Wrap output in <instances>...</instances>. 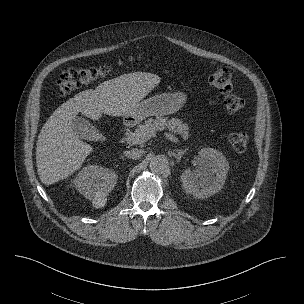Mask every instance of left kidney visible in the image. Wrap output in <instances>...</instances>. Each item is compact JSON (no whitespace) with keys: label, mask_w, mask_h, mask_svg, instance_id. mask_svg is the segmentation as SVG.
I'll list each match as a JSON object with an SVG mask.
<instances>
[{"label":"left kidney","mask_w":304,"mask_h":304,"mask_svg":"<svg viewBox=\"0 0 304 304\" xmlns=\"http://www.w3.org/2000/svg\"><path fill=\"white\" fill-rule=\"evenodd\" d=\"M193 163L196 169L185 170L181 175L182 186L187 193L197 198H207L223 188L229 163L222 152L203 148Z\"/></svg>","instance_id":"5707ae66"}]
</instances>
